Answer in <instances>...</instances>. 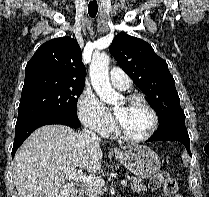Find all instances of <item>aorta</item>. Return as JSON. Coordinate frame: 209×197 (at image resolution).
Segmentation results:
<instances>
[{"label":"aorta","mask_w":209,"mask_h":197,"mask_svg":"<svg viewBox=\"0 0 209 197\" xmlns=\"http://www.w3.org/2000/svg\"><path fill=\"white\" fill-rule=\"evenodd\" d=\"M110 58L106 53L93 56L90 64L91 83L97 95L103 102L115 105L120 100V95L111 86L108 67Z\"/></svg>","instance_id":"762f6f07"}]
</instances>
